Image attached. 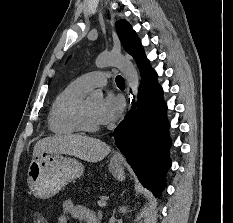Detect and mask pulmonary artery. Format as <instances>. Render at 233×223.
Masks as SVG:
<instances>
[{
    "instance_id": "e3ab8cb5",
    "label": "pulmonary artery",
    "mask_w": 233,
    "mask_h": 223,
    "mask_svg": "<svg viewBox=\"0 0 233 223\" xmlns=\"http://www.w3.org/2000/svg\"><path fill=\"white\" fill-rule=\"evenodd\" d=\"M109 78V73L101 71L88 72L78 78L87 90H91L96 86H104Z\"/></svg>"
}]
</instances>
